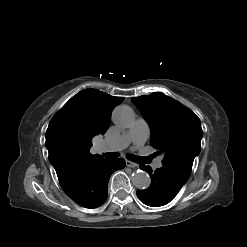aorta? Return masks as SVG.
Instances as JSON below:
<instances>
[{
    "label": "aorta",
    "mask_w": 247,
    "mask_h": 247,
    "mask_svg": "<svg viewBox=\"0 0 247 247\" xmlns=\"http://www.w3.org/2000/svg\"><path fill=\"white\" fill-rule=\"evenodd\" d=\"M112 120L119 128H129L135 120V114L129 106L121 105L114 109ZM131 181L138 189H146L151 184L150 176L141 170L132 174Z\"/></svg>",
    "instance_id": "aorta-1"
}]
</instances>
